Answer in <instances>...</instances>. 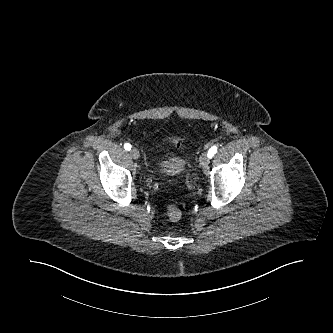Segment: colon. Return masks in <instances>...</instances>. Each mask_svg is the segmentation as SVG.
<instances>
[{
	"label": "colon",
	"mask_w": 333,
	"mask_h": 333,
	"mask_svg": "<svg viewBox=\"0 0 333 333\" xmlns=\"http://www.w3.org/2000/svg\"><path fill=\"white\" fill-rule=\"evenodd\" d=\"M167 215L170 220L178 221L182 217V211L179 207L170 205L167 207Z\"/></svg>",
	"instance_id": "obj_1"
}]
</instances>
